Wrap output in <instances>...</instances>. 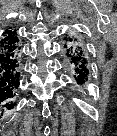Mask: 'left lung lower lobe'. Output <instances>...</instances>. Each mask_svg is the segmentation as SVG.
Here are the masks:
<instances>
[{
	"mask_svg": "<svg viewBox=\"0 0 117 136\" xmlns=\"http://www.w3.org/2000/svg\"><path fill=\"white\" fill-rule=\"evenodd\" d=\"M63 64L64 68L80 85L88 82L91 74V61L83 36L76 32L64 34Z\"/></svg>",
	"mask_w": 117,
	"mask_h": 136,
	"instance_id": "1",
	"label": "left lung lower lobe"
}]
</instances>
